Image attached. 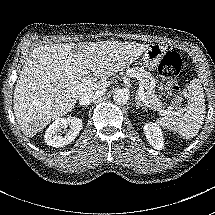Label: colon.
<instances>
[{"mask_svg": "<svg viewBox=\"0 0 215 215\" xmlns=\"http://www.w3.org/2000/svg\"><path fill=\"white\" fill-rule=\"evenodd\" d=\"M182 68V60L178 53L168 52L162 58L158 72L161 79L158 82L159 98L171 108L182 106L184 98L176 87L175 80Z\"/></svg>", "mask_w": 215, "mask_h": 215, "instance_id": "colon-1", "label": "colon"}]
</instances>
